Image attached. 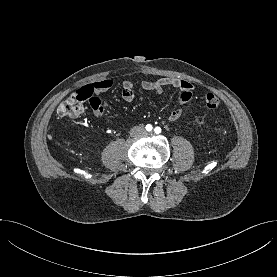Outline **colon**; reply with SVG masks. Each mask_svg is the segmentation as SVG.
<instances>
[{
  "label": "colon",
  "mask_w": 277,
  "mask_h": 277,
  "mask_svg": "<svg viewBox=\"0 0 277 277\" xmlns=\"http://www.w3.org/2000/svg\"><path fill=\"white\" fill-rule=\"evenodd\" d=\"M91 91L87 89L78 90L58 107V114L62 117H78L84 112V105L87 100H91ZM205 105L210 109H215L219 105V99L213 93H208L205 96Z\"/></svg>",
  "instance_id": "obj_1"
}]
</instances>
